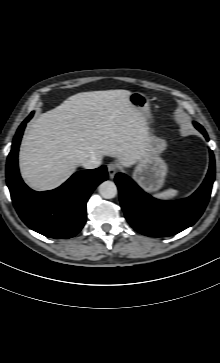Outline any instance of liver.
<instances>
[{
  "instance_id": "6515ba94",
  "label": "liver",
  "mask_w": 220,
  "mask_h": 363,
  "mask_svg": "<svg viewBox=\"0 0 220 363\" xmlns=\"http://www.w3.org/2000/svg\"><path fill=\"white\" fill-rule=\"evenodd\" d=\"M128 90L82 92L41 114L27 128L19 152L20 172L33 189L57 188L90 158H117L131 167L145 154V113Z\"/></svg>"
}]
</instances>
